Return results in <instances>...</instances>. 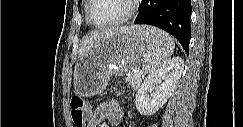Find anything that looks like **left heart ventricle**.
<instances>
[{
  "instance_id": "left-heart-ventricle-1",
  "label": "left heart ventricle",
  "mask_w": 243,
  "mask_h": 127,
  "mask_svg": "<svg viewBox=\"0 0 243 127\" xmlns=\"http://www.w3.org/2000/svg\"><path fill=\"white\" fill-rule=\"evenodd\" d=\"M129 9L126 0H94L91 15L97 23H107L124 16Z\"/></svg>"
}]
</instances>
